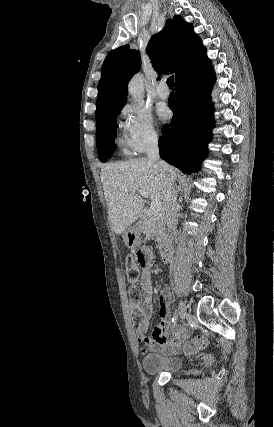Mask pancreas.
<instances>
[{
	"mask_svg": "<svg viewBox=\"0 0 274 427\" xmlns=\"http://www.w3.org/2000/svg\"><path fill=\"white\" fill-rule=\"evenodd\" d=\"M166 214L165 212H145L141 217V231L146 235H151L157 241H163L166 237L165 233Z\"/></svg>",
	"mask_w": 274,
	"mask_h": 427,
	"instance_id": "pancreas-1",
	"label": "pancreas"
}]
</instances>
